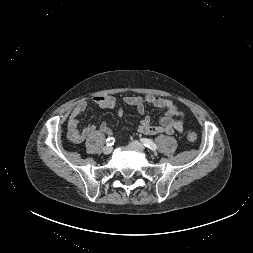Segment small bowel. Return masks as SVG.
<instances>
[{"mask_svg": "<svg viewBox=\"0 0 253 253\" xmlns=\"http://www.w3.org/2000/svg\"><path fill=\"white\" fill-rule=\"evenodd\" d=\"M123 103L136 107L138 113L142 115L145 114L146 104L152 105L164 111V115L161 117L159 122L160 124L158 126L151 125L150 117L145 116L138 126V131L141 134L156 135L159 133L172 134L174 132H184V112L180 110L171 100L154 95H131L124 97ZM91 104L105 109L118 108V115L122 116L123 114V109L118 106V100L114 96H96L91 100H82L78 102L71 111L67 122V137L72 143L79 144L83 142L96 130V126L94 124H90L83 129H79L78 127L80 115L85 112ZM99 128L107 135L112 134L111 129L105 122L101 123Z\"/></svg>", "mask_w": 253, "mask_h": 253, "instance_id": "1", "label": "small bowel"}]
</instances>
